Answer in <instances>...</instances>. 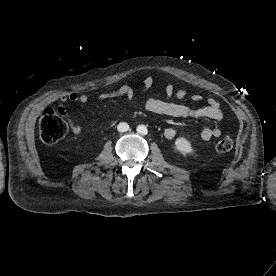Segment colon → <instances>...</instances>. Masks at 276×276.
Masks as SVG:
<instances>
[{"label":"colon","mask_w":276,"mask_h":276,"mask_svg":"<svg viewBox=\"0 0 276 276\" xmlns=\"http://www.w3.org/2000/svg\"><path fill=\"white\" fill-rule=\"evenodd\" d=\"M67 122L53 108H47L39 120V132L42 141L46 144H54L65 137L68 133ZM233 147V140L226 136L221 138L217 144L218 152H229Z\"/></svg>","instance_id":"1"}]
</instances>
